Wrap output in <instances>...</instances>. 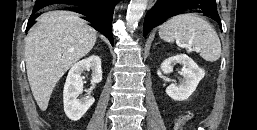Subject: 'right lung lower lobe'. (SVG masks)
<instances>
[{
	"instance_id": "1",
	"label": "right lung lower lobe",
	"mask_w": 257,
	"mask_h": 130,
	"mask_svg": "<svg viewBox=\"0 0 257 130\" xmlns=\"http://www.w3.org/2000/svg\"><path fill=\"white\" fill-rule=\"evenodd\" d=\"M118 1L119 0H92L73 5L78 6L81 9V11L78 12L84 15L83 19L90 22V25L97 31L103 33L113 45L111 24L113 18V10ZM60 3L64 4L63 2H49L37 0L33 8L32 15L30 16V19L28 21L26 31L35 23V18L39 16L37 14V11L46 6Z\"/></svg>"
}]
</instances>
